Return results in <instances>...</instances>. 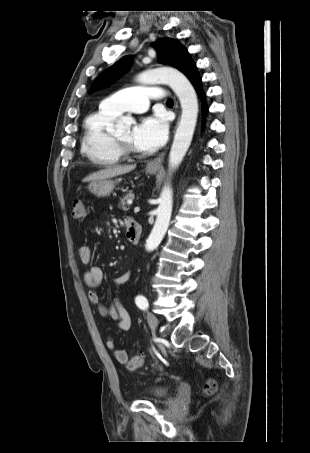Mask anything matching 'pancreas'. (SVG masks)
<instances>
[{
    "instance_id": "1",
    "label": "pancreas",
    "mask_w": 310,
    "mask_h": 453,
    "mask_svg": "<svg viewBox=\"0 0 310 453\" xmlns=\"http://www.w3.org/2000/svg\"><path fill=\"white\" fill-rule=\"evenodd\" d=\"M134 194L133 193H128L125 195L123 198L120 199L119 202V208H121L123 211H128L130 209V206L127 204L128 200H133L134 199Z\"/></svg>"
}]
</instances>
